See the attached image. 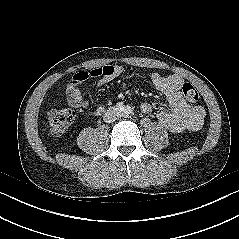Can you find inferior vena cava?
Listing matches in <instances>:
<instances>
[{
  "label": "inferior vena cava",
  "mask_w": 239,
  "mask_h": 239,
  "mask_svg": "<svg viewBox=\"0 0 239 239\" xmlns=\"http://www.w3.org/2000/svg\"><path fill=\"white\" fill-rule=\"evenodd\" d=\"M119 117H120V113H119V111L117 109L109 108L105 112V114L103 116V119H104V122L111 123V122L116 121Z\"/></svg>",
  "instance_id": "602c4592"
}]
</instances>
